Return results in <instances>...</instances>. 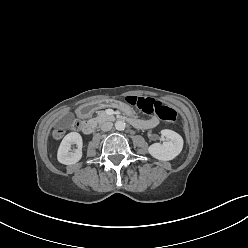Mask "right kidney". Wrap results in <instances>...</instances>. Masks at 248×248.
<instances>
[{
  "mask_svg": "<svg viewBox=\"0 0 248 248\" xmlns=\"http://www.w3.org/2000/svg\"><path fill=\"white\" fill-rule=\"evenodd\" d=\"M73 144L77 145L75 152H71V146ZM82 137L77 132H71L67 134L57 151V159L60 163L65 165H72L77 163L82 157Z\"/></svg>",
  "mask_w": 248,
  "mask_h": 248,
  "instance_id": "right-kidney-1",
  "label": "right kidney"
}]
</instances>
